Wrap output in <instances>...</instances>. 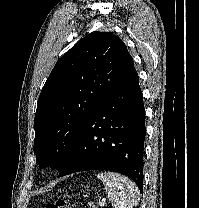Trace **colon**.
Segmentation results:
<instances>
[{
	"label": "colon",
	"instance_id": "colon-1",
	"mask_svg": "<svg viewBox=\"0 0 199 208\" xmlns=\"http://www.w3.org/2000/svg\"><path fill=\"white\" fill-rule=\"evenodd\" d=\"M46 208H76L75 205L64 199H57L47 204Z\"/></svg>",
	"mask_w": 199,
	"mask_h": 208
}]
</instances>
